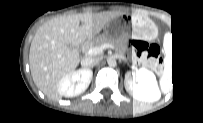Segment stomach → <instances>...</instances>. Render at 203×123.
<instances>
[{"label":"stomach","mask_w":203,"mask_h":123,"mask_svg":"<svg viewBox=\"0 0 203 123\" xmlns=\"http://www.w3.org/2000/svg\"><path fill=\"white\" fill-rule=\"evenodd\" d=\"M102 30L104 35L135 34L150 40L156 39L159 34L156 23L145 16L143 18L142 15H132L131 21L128 24L123 17L116 18L109 22Z\"/></svg>","instance_id":"obj_1"}]
</instances>
